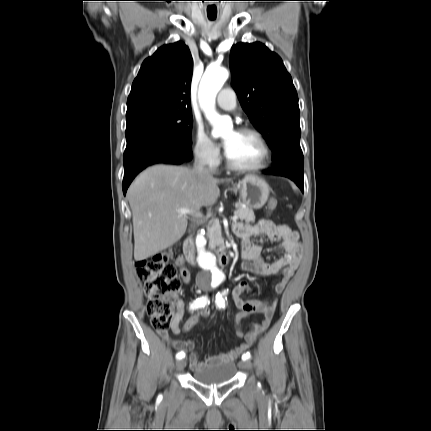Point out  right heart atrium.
<instances>
[{
	"mask_svg": "<svg viewBox=\"0 0 431 431\" xmlns=\"http://www.w3.org/2000/svg\"><path fill=\"white\" fill-rule=\"evenodd\" d=\"M193 153L203 165L214 168L220 160V151L201 127L194 134Z\"/></svg>",
	"mask_w": 431,
	"mask_h": 431,
	"instance_id": "1",
	"label": "right heart atrium"
}]
</instances>
